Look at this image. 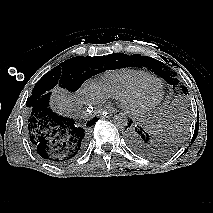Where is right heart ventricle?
<instances>
[{
	"label": "right heart ventricle",
	"mask_w": 213,
	"mask_h": 213,
	"mask_svg": "<svg viewBox=\"0 0 213 213\" xmlns=\"http://www.w3.org/2000/svg\"><path fill=\"white\" fill-rule=\"evenodd\" d=\"M151 76L143 69L120 68L103 73L95 85L104 98L119 99L137 83Z\"/></svg>",
	"instance_id": "1"
}]
</instances>
